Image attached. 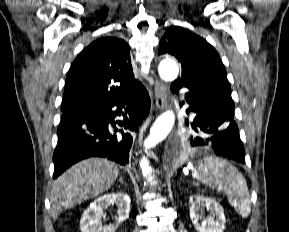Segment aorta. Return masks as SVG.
Returning <instances> with one entry per match:
<instances>
[{
    "mask_svg": "<svg viewBox=\"0 0 289 232\" xmlns=\"http://www.w3.org/2000/svg\"><path fill=\"white\" fill-rule=\"evenodd\" d=\"M160 77L165 81H173L178 77L179 68L177 64L172 60H163L158 68ZM175 115L173 111L164 112L155 121L154 125L150 129L149 136L144 141V147L146 149L156 146L159 142L164 140L174 125ZM140 167L144 176H149L151 173V167L148 160L143 157L140 161Z\"/></svg>",
    "mask_w": 289,
    "mask_h": 232,
    "instance_id": "obj_1",
    "label": "aorta"
}]
</instances>
